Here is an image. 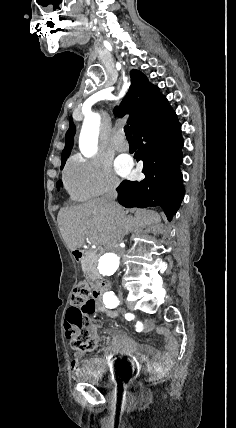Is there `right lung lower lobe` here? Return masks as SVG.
Returning <instances> with one entry per match:
<instances>
[{
    "label": "right lung lower lobe",
    "instance_id": "1",
    "mask_svg": "<svg viewBox=\"0 0 236 428\" xmlns=\"http://www.w3.org/2000/svg\"><path fill=\"white\" fill-rule=\"evenodd\" d=\"M181 125L171 107L133 130L138 144L137 161H143L145 179L124 180L116 189L124 207L160 206L170 221L181 205L185 189L179 165L182 162Z\"/></svg>",
    "mask_w": 236,
    "mask_h": 428
}]
</instances>
